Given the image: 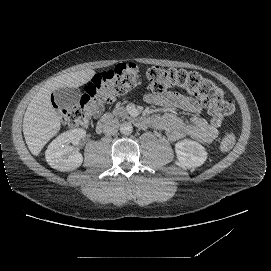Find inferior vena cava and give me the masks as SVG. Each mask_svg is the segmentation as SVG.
<instances>
[{
  "instance_id": "1",
  "label": "inferior vena cava",
  "mask_w": 271,
  "mask_h": 271,
  "mask_svg": "<svg viewBox=\"0 0 271 271\" xmlns=\"http://www.w3.org/2000/svg\"><path fill=\"white\" fill-rule=\"evenodd\" d=\"M119 126V121L110 115H107L104 119H102L101 127L103 133L106 135H114L118 131Z\"/></svg>"
}]
</instances>
